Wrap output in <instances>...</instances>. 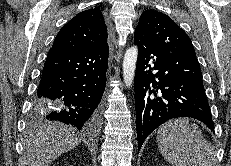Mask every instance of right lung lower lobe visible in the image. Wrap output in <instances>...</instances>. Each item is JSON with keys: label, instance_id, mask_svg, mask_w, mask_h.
I'll return each instance as SVG.
<instances>
[{"label": "right lung lower lobe", "instance_id": "1", "mask_svg": "<svg viewBox=\"0 0 231 166\" xmlns=\"http://www.w3.org/2000/svg\"><path fill=\"white\" fill-rule=\"evenodd\" d=\"M108 51V44L82 52L51 48L34 100V113L87 134L95 133L101 119Z\"/></svg>", "mask_w": 231, "mask_h": 166}]
</instances>
